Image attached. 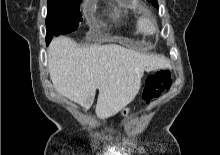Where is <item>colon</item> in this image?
Listing matches in <instances>:
<instances>
[{
	"label": "colon",
	"mask_w": 220,
	"mask_h": 155,
	"mask_svg": "<svg viewBox=\"0 0 220 155\" xmlns=\"http://www.w3.org/2000/svg\"><path fill=\"white\" fill-rule=\"evenodd\" d=\"M172 85L171 73L169 70H160L147 78L143 91L144 100L150 103L158 98L165 90Z\"/></svg>",
	"instance_id": "colon-1"
}]
</instances>
